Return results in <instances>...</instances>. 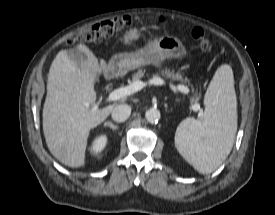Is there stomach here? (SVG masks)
<instances>
[{
    "instance_id": "1",
    "label": "stomach",
    "mask_w": 275,
    "mask_h": 215,
    "mask_svg": "<svg viewBox=\"0 0 275 215\" xmlns=\"http://www.w3.org/2000/svg\"><path fill=\"white\" fill-rule=\"evenodd\" d=\"M187 50L183 43L174 37H161L145 51L114 55L108 63V71L113 75H124L128 71L169 58H185Z\"/></svg>"
}]
</instances>
